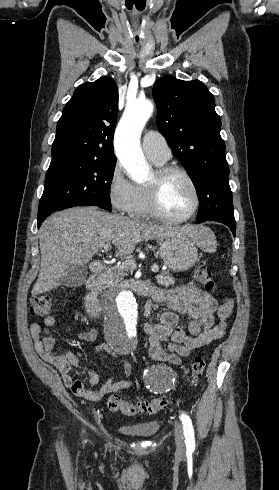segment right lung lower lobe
Here are the masks:
<instances>
[{
	"mask_svg": "<svg viewBox=\"0 0 279 490\" xmlns=\"http://www.w3.org/2000/svg\"><path fill=\"white\" fill-rule=\"evenodd\" d=\"M75 206H95V205L92 204V203H87V202H78V203H73V204H69V205L63 206V207H61L58 210H63V209L70 208V207H75ZM44 219L45 218H38V227H40V225L44 221Z\"/></svg>",
	"mask_w": 279,
	"mask_h": 490,
	"instance_id": "1",
	"label": "right lung lower lobe"
}]
</instances>
